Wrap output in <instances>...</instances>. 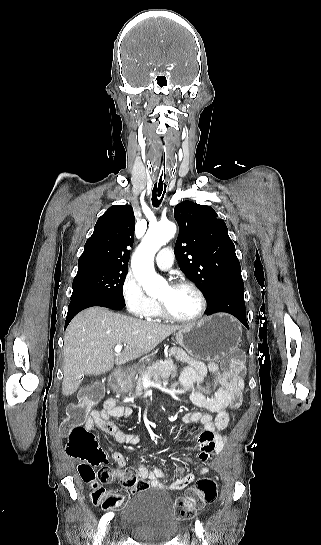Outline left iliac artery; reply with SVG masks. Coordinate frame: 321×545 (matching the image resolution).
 Returning <instances> with one entry per match:
<instances>
[{
    "mask_svg": "<svg viewBox=\"0 0 321 545\" xmlns=\"http://www.w3.org/2000/svg\"><path fill=\"white\" fill-rule=\"evenodd\" d=\"M195 531L197 533V535L199 536V538L202 539V545H208L207 544V541L204 539V534H203V527H202V524L200 523L199 520H197L195 522Z\"/></svg>",
    "mask_w": 321,
    "mask_h": 545,
    "instance_id": "44dca946",
    "label": "left iliac artery"
}]
</instances>
